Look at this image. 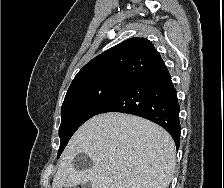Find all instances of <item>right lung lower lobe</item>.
Masks as SVG:
<instances>
[{
    "label": "right lung lower lobe",
    "mask_w": 224,
    "mask_h": 188,
    "mask_svg": "<svg viewBox=\"0 0 224 188\" xmlns=\"http://www.w3.org/2000/svg\"><path fill=\"white\" fill-rule=\"evenodd\" d=\"M179 110L176 90L169 71L162 61L134 78L97 114L121 112L146 118L165 128L178 149L181 132Z\"/></svg>",
    "instance_id": "98d812e1"
}]
</instances>
